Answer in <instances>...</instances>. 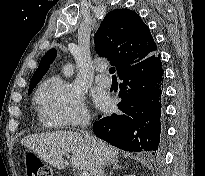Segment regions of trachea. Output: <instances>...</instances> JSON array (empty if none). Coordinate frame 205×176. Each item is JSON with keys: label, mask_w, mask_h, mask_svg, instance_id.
I'll return each instance as SVG.
<instances>
[{"label": "trachea", "mask_w": 205, "mask_h": 176, "mask_svg": "<svg viewBox=\"0 0 205 176\" xmlns=\"http://www.w3.org/2000/svg\"><path fill=\"white\" fill-rule=\"evenodd\" d=\"M109 72H110V74H112L113 77H115V75H114V73H115V68H114V67H111V68L109 69Z\"/></svg>", "instance_id": "1"}]
</instances>
